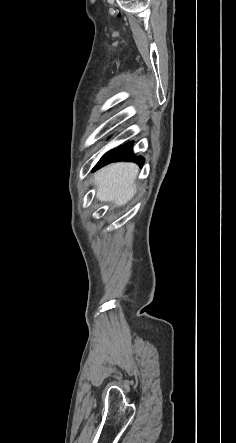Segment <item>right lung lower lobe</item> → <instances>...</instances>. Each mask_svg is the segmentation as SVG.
I'll use <instances>...</instances> for the list:
<instances>
[{
    "label": "right lung lower lobe",
    "mask_w": 236,
    "mask_h": 443,
    "mask_svg": "<svg viewBox=\"0 0 236 443\" xmlns=\"http://www.w3.org/2000/svg\"><path fill=\"white\" fill-rule=\"evenodd\" d=\"M132 146L133 142H129L127 144H124L123 146H120L114 150L109 151L101 158V160L96 165L94 170L110 162L121 161V160L134 161L138 163L140 166H142L144 163V158L141 156L135 157L132 152Z\"/></svg>",
    "instance_id": "98d812e1"
}]
</instances>
